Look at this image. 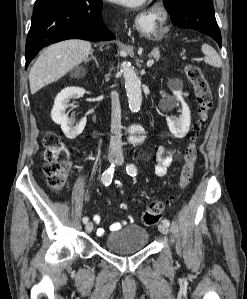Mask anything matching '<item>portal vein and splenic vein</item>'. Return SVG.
<instances>
[{
	"label": "portal vein and splenic vein",
	"instance_id": "1",
	"mask_svg": "<svg viewBox=\"0 0 247 299\" xmlns=\"http://www.w3.org/2000/svg\"><path fill=\"white\" fill-rule=\"evenodd\" d=\"M154 64V60L153 59H150L147 61V66L150 67Z\"/></svg>",
	"mask_w": 247,
	"mask_h": 299
}]
</instances>
